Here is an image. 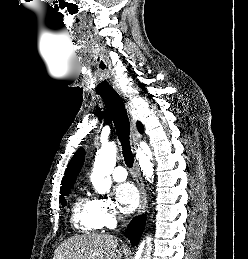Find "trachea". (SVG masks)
<instances>
[{
    "mask_svg": "<svg viewBox=\"0 0 248 259\" xmlns=\"http://www.w3.org/2000/svg\"><path fill=\"white\" fill-rule=\"evenodd\" d=\"M99 95L103 98V101L105 102L115 124L118 139L122 146V153L125 163L129 168H131L133 166L134 159L129 140L130 122L122 99L115 91L100 93Z\"/></svg>",
    "mask_w": 248,
    "mask_h": 259,
    "instance_id": "obj_1",
    "label": "trachea"
}]
</instances>
